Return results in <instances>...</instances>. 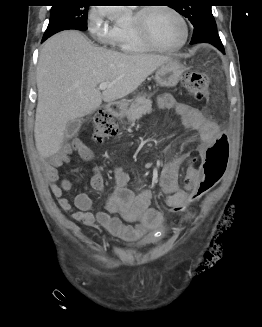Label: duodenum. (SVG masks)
Here are the masks:
<instances>
[{
  "instance_id": "duodenum-1",
  "label": "duodenum",
  "mask_w": 262,
  "mask_h": 327,
  "mask_svg": "<svg viewBox=\"0 0 262 327\" xmlns=\"http://www.w3.org/2000/svg\"><path fill=\"white\" fill-rule=\"evenodd\" d=\"M109 112L113 115V116H119L122 112V106L119 104H112L109 106Z\"/></svg>"
}]
</instances>
